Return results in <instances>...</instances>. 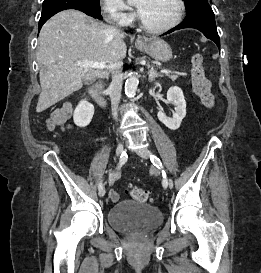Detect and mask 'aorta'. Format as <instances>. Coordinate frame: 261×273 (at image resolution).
<instances>
[{
	"mask_svg": "<svg viewBox=\"0 0 261 273\" xmlns=\"http://www.w3.org/2000/svg\"><path fill=\"white\" fill-rule=\"evenodd\" d=\"M135 0H128V2H132ZM139 80L138 76L136 74L130 75L126 82H125V93L128 97H134L136 91H137V86H138Z\"/></svg>",
	"mask_w": 261,
	"mask_h": 273,
	"instance_id": "1",
	"label": "aorta"
}]
</instances>
